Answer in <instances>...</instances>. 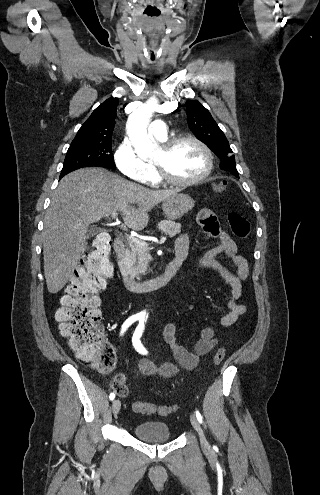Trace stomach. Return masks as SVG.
Segmentation results:
<instances>
[{
	"label": "stomach",
	"instance_id": "stomach-1",
	"mask_svg": "<svg viewBox=\"0 0 320 495\" xmlns=\"http://www.w3.org/2000/svg\"><path fill=\"white\" fill-rule=\"evenodd\" d=\"M194 207L193 199L182 193H175L162 203L164 215L170 220H177L186 215Z\"/></svg>",
	"mask_w": 320,
	"mask_h": 495
}]
</instances>
